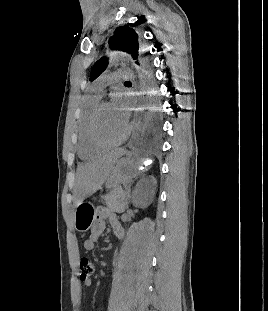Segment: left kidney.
<instances>
[{
  "label": "left kidney",
  "instance_id": "1",
  "mask_svg": "<svg viewBox=\"0 0 268 311\" xmlns=\"http://www.w3.org/2000/svg\"><path fill=\"white\" fill-rule=\"evenodd\" d=\"M156 183L157 181L153 176L143 178L138 183L132 197V203L135 207L145 208L153 202Z\"/></svg>",
  "mask_w": 268,
  "mask_h": 311
}]
</instances>
